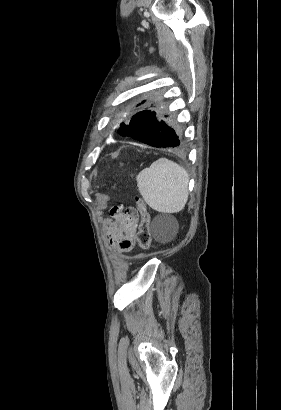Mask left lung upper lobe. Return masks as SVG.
<instances>
[{"mask_svg":"<svg viewBox=\"0 0 281 410\" xmlns=\"http://www.w3.org/2000/svg\"><path fill=\"white\" fill-rule=\"evenodd\" d=\"M121 126H122V129H120L118 132L121 134V135H125V131L123 130V124H121Z\"/></svg>","mask_w":281,"mask_h":410,"instance_id":"left-lung-upper-lobe-1","label":"left lung upper lobe"}]
</instances>
